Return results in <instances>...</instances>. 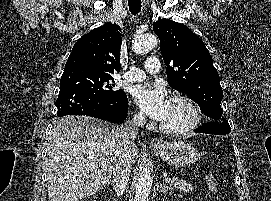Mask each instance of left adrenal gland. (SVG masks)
<instances>
[{
    "label": "left adrenal gland",
    "instance_id": "a2214340",
    "mask_svg": "<svg viewBox=\"0 0 271 201\" xmlns=\"http://www.w3.org/2000/svg\"><path fill=\"white\" fill-rule=\"evenodd\" d=\"M168 190H169V191L171 190V188H170L169 186H167V185L162 186L161 184L157 183V191H158V192L165 193V192H167Z\"/></svg>",
    "mask_w": 271,
    "mask_h": 201
}]
</instances>
